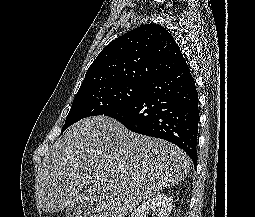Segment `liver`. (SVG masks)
Instances as JSON below:
<instances>
[{
  "label": "liver",
  "instance_id": "liver-1",
  "mask_svg": "<svg viewBox=\"0 0 255 217\" xmlns=\"http://www.w3.org/2000/svg\"><path fill=\"white\" fill-rule=\"evenodd\" d=\"M189 171L190 158L178 146L93 116L72 125L51 146L35 196L47 213L86 202L94 217H124Z\"/></svg>",
  "mask_w": 255,
  "mask_h": 217
}]
</instances>
